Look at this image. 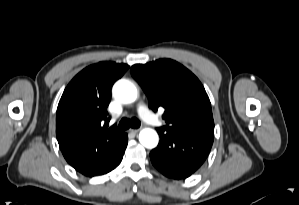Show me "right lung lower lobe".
Wrapping results in <instances>:
<instances>
[{"mask_svg": "<svg viewBox=\"0 0 299 205\" xmlns=\"http://www.w3.org/2000/svg\"><path fill=\"white\" fill-rule=\"evenodd\" d=\"M127 143H128V138H127V135L125 134L119 149L113 155H111V157H109L104 164L99 166L88 176L93 177V176H97V175H103V174H106V173L110 172L111 170L115 169L120 164V162L122 160L123 154L127 147Z\"/></svg>", "mask_w": 299, "mask_h": 205, "instance_id": "right-lung-lower-lobe-1", "label": "right lung lower lobe"}]
</instances>
